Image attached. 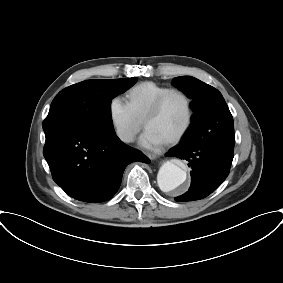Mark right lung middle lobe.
Returning <instances> with one entry per match:
<instances>
[{
  "label": "right lung middle lobe",
  "instance_id": "1",
  "mask_svg": "<svg viewBox=\"0 0 283 283\" xmlns=\"http://www.w3.org/2000/svg\"><path fill=\"white\" fill-rule=\"evenodd\" d=\"M137 78L86 80L60 91L43 122L45 136L61 129L113 130L111 99L133 86Z\"/></svg>",
  "mask_w": 283,
  "mask_h": 283
}]
</instances>
